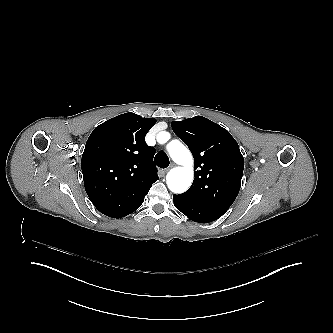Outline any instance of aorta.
I'll return each mask as SVG.
<instances>
[{"mask_svg":"<svg viewBox=\"0 0 333 333\" xmlns=\"http://www.w3.org/2000/svg\"><path fill=\"white\" fill-rule=\"evenodd\" d=\"M167 151L175 162L185 167H178L175 172H168L167 186L173 193L180 194L189 189L193 180L192 156L190 151L179 141L173 140L167 145Z\"/></svg>","mask_w":333,"mask_h":333,"instance_id":"762f6f07","label":"aorta"}]
</instances>
